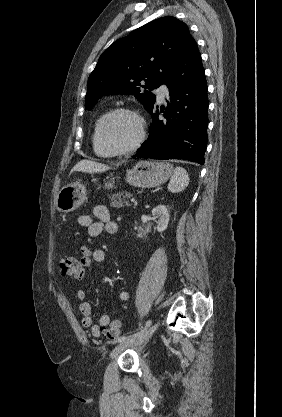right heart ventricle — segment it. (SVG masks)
Listing matches in <instances>:
<instances>
[{"mask_svg":"<svg viewBox=\"0 0 282 417\" xmlns=\"http://www.w3.org/2000/svg\"><path fill=\"white\" fill-rule=\"evenodd\" d=\"M105 117H106V115H103L97 121L96 127H95V132H94V137H93L95 150L101 156H107L108 155V153L102 148V146L100 144V125H101V123H102V121Z\"/></svg>","mask_w":282,"mask_h":417,"instance_id":"e07e8e85","label":"right heart ventricle"}]
</instances>
